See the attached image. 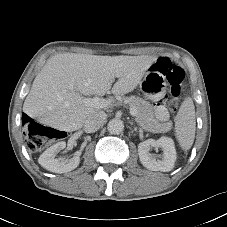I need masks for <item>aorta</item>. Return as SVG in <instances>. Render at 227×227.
Returning a JSON list of instances; mask_svg holds the SVG:
<instances>
[{"instance_id": "762f6f07", "label": "aorta", "mask_w": 227, "mask_h": 227, "mask_svg": "<svg viewBox=\"0 0 227 227\" xmlns=\"http://www.w3.org/2000/svg\"><path fill=\"white\" fill-rule=\"evenodd\" d=\"M107 129L111 134H119L124 129V123L121 119L114 118L109 121Z\"/></svg>"}]
</instances>
